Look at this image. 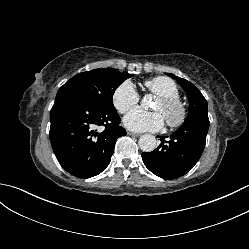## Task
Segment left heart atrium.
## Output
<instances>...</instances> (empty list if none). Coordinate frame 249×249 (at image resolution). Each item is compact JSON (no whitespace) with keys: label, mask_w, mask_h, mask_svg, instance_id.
<instances>
[{"label":"left heart atrium","mask_w":249,"mask_h":249,"mask_svg":"<svg viewBox=\"0 0 249 249\" xmlns=\"http://www.w3.org/2000/svg\"><path fill=\"white\" fill-rule=\"evenodd\" d=\"M125 127L137 132L157 131L164 125V117L158 112H147L141 108L132 109L123 119Z\"/></svg>","instance_id":"obj_1"}]
</instances>
